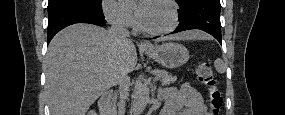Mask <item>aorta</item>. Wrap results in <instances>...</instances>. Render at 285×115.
Wrapping results in <instances>:
<instances>
[{
    "mask_svg": "<svg viewBox=\"0 0 285 115\" xmlns=\"http://www.w3.org/2000/svg\"><path fill=\"white\" fill-rule=\"evenodd\" d=\"M149 88L146 83L138 82L135 87L133 112L140 114L145 109L149 101Z\"/></svg>",
    "mask_w": 285,
    "mask_h": 115,
    "instance_id": "1",
    "label": "aorta"
}]
</instances>
